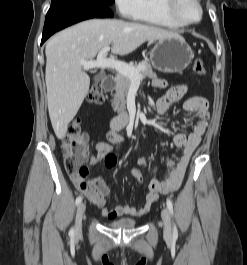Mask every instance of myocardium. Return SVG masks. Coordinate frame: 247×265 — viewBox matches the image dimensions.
Here are the masks:
<instances>
[{
	"label": "myocardium",
	"instance_id": "obj_1",
	"mask_svg": "<svg viewBox=\"0 0 247 265\" xmlns=\"http://www.w3.org/2000/svg\"><path fill=\"white\" fill-rule=\"evenodd\" d=\"M181 2L182 0H164V9L171 17V19L178 23L180 26H191L199 23L202 20L204 14L203 6L200 0H193L199 10V17L194 21H188L182 17L179 11Z\"/></svg>",
	"mask_w": 247,
	"mask_h": 265
}]
</instances>
